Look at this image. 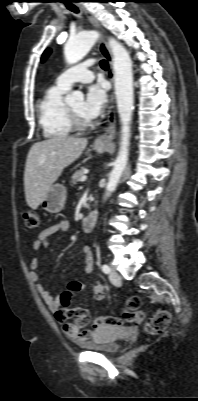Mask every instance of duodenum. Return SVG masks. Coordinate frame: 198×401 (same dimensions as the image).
I'll return each instance as SVG.
<instances>
[{"label":"duodenum","mask_w":198,"mask_h":401,"mask_svg":"<svg viewBox=\"0 0 198 401\" xmlns=\"http://www.w3.org/2000/svg\"><path fill=\"white\" fill-rule=\"evenodd\" d=\"M98 213L97 211H92L82 220V229L84 232H90L95 227L97 222Z\"/></svg>","instance_id":"obj_1"}]
</instances>
